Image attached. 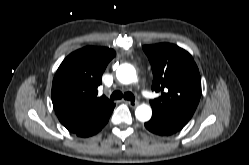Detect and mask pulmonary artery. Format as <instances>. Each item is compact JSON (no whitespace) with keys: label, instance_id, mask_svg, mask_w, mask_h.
<instances>
[{"label":"pulmonary artery","instance_id":"1","mask_svg":"<svg viewBox=\"0 0 249 165\" xmlns=\"http://www.w3.org/2000/svg\"><path fill=\"white\" fill-rule=\"evenodd\" d=\"M142 95L146 98V99H150V95L148 94V92L146 90L142 91Z\"/></svg>","mask_w":249,"mask_h":165}]
</instances>
